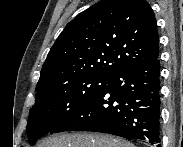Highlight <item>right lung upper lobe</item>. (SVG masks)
<instances>
[{
  "instance_id": "cb5924a9",
  "label": "right lung upper lobe",
  "mask_w": 183,
  "mask_h": 147,
  "mask_svg": "<svg viewBox=\"0 0 183 147\" xmlns=\"http://www.w3.org/2000/svg\"><path fill=\"white\" fill-rule=\"evenodd\" d=\"M158 56L156 19L146 0H101L66 25L46 58L36 90L83 77L111 78Z\"/></svg>"
}]
</instances>
